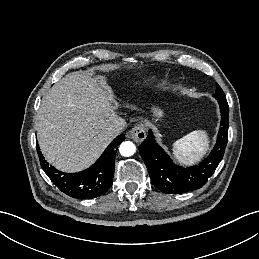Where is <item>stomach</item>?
<instances>
[{"label": "stomach", "instance_id": "0dacf381", "mask_svg": "<svg viewBox=\"0 0 259 259\" xmlns=\"http://www.w3.org/2000/svg\"><path fill=\"white\" fill-rule=\"evenodd\" d=\"M153 114L157 118H161L163 116V111L161 109H158V108H153Z\"/></svg>", "mask_w": 259, "mask_h": 259}]
</instances>
